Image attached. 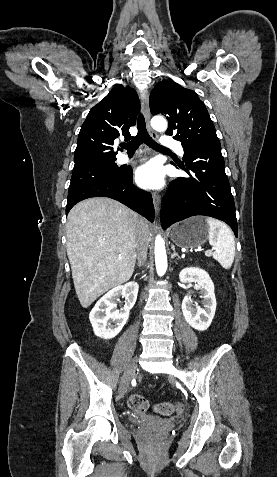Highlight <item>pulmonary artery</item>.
<instances>
[{"mask_svg":"<svg viewBox=\"0 0 277 477\" xmlns=\"http://www.w3.org/2000/svg\"><path fill=\"white\" fill-rule=\"evenodd\" d=\"M163 144L164 146H166L167 148H171L173 149L174 151H176V153L181 156V157H184V149L182 147V145L175 141V140H172V139H168V138H165L163 140ZM132 158H130L129 156L127 155H120L117 159V162L120 163V164H124V163H128L129 161H131Z\"/></svg>","mask_w":277,"mask_h":477,"instance_id":"obj_1","label":"pulmonary artery"}]
</instances>
